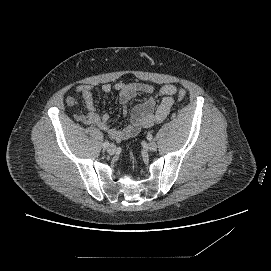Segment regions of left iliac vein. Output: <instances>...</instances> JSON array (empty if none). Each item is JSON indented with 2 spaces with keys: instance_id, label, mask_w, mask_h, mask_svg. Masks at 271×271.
Returning a JSON list of instances; mask_svg holds the SVG:
<instances>
[{
  "instance_id": "1",
  "label": "left iliac vein",
  "mask_w": 271,
  "mask_h": 271,
  "mask_svg": "<svg viewBox=\"0 0 271 271\" xmlns=\"http://www.w3.org/2000/svg\"><path fill=\"white\" fill-rule=\"evenodd\" d=\"M147 149L150 151H156L157 150V144L155 142H150L147 145Z\"/></svg>"
}]
</instances>
